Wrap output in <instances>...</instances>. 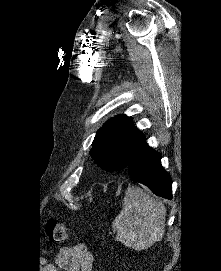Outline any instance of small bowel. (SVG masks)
<instances>
[{"instance_id":"1","label":"small bowel","mask_w":221,"mask_h":271,"mask_svg":"<svg viewBox=\"0 0 221 271\" xmlns=\"http://www.w3.org/2000/svg\"><path fill=\"white\" fill-rule=\"evenodd\" d=\"M56 261L65 271H93L94 256L82 243L62 247Z\"/></svg>"}]
</instances>
